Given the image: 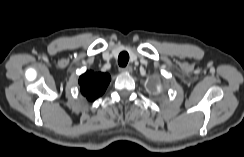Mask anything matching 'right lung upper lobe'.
<instances>
[{
  "mask_svg": "<svg viewBox=\"0 0 244 157\" xmlns=\"http://www.w3.org/2000/svg\"><path fill=\"white\" fill-rule=\"evenodd\" d=\"M110 82V75L107 73H94L87 71L79 78L81 93L90 101L101 96Z\"/></svg>",
  "mask_w": 244,
  "mask_h": 157,
  "instance_id": "cb5924a9",
  "label": "right lung upper lobe"
}]
</instances>
